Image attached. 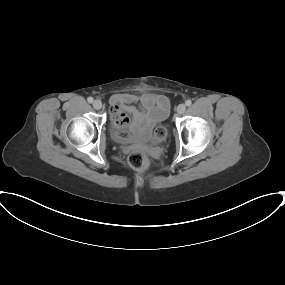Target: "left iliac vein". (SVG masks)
I'll return each instance as SVG.
<instances>
[{
    "label": "left iliac vein",
    "instance_id": "4c4485c4",
    "mask_svg": "<svg viewBox=\"0 0 285 285\" xmlns=\"http://www.w3.org/2000/svg\"><path fill=\"white\" fill-rule=\"evenodd\" d=\"M176 110L178 114H183L186 110V106L184 104H179Z\"/></svg>",
    "mask_w": 285,
    "mask_h": 285
}]
</instances>
